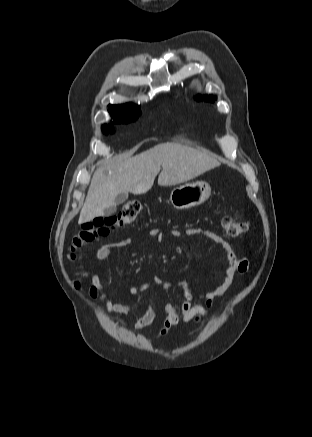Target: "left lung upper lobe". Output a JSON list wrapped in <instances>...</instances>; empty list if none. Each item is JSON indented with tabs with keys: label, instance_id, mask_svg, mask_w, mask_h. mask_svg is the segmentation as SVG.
I'll return each mask as SVG.
<instances>
[{
	"label": "left lung upper lobe",
	"instance_id": "1",
	"mask_svg": "<svg viewBox=\"0 0 312 437\" xmlns=\"http://www.w3.org/2000/svg\"><path fill=\"white\" fill-rule=\"evenodd\" d=\"M215 99H216V97H214L213 95L197 96L196 97L197 101H206V102H214Z\"/></svg>",
	"mask_w": 312,
	"mask_h": 437
}]
</instances>
